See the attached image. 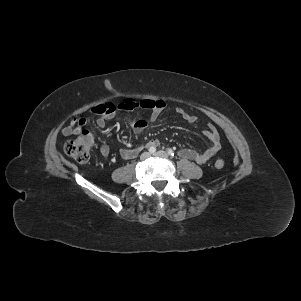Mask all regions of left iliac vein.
I'll return each instance as SVG.
<instances>
[{"mask_svg":"<svg viewBox=\"0 0 301 301\" xmlns=\"http://www.w3.org/2000/svg\"><path fill=\"white\" fill-rule=\"evenodd\" d=\"M154 156L159 157V158H164L167 159L168 158V154L165 151H158L154 154Z\"/></svg>","mask_w":301,"mask_h":301,"instance_id":"1","label":"left iliac vein"}]
</instances>
